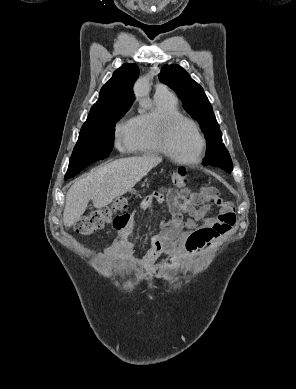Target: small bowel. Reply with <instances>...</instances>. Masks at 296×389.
<instances>
[{
    "mask_svg": "<svg viewBox=\"0 0 296 389\" xmlns=\"http://www.w3.org/2000/svg\"><path fill=\"white\" fill-rule=\"evenodd\" d=\"M164 200L168 206L169 218L161 223L159 232L152 237L151 242L156 251L173 254L171 264L177 259L197 255L216 238L228 233L236 223L233 204L219 198L212 189L203 193L162 189L145 197L135 210L126 215L124 224H113L116 236L99 255L100 258L107 261L127 258L132 247L129 236L138 218L151 209L155 202ZM210 202L219 206L216 216H210Z\"/></svg>",
    "mask_w": 296,
    "mask_h": 389,
    "instance_id": "small-bowel-1",
    "label": "small bowel"
}]
</instances>
